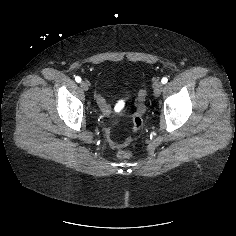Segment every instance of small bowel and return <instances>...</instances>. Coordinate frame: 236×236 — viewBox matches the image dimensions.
I'll use <instances>...</instances> for the list:
<instances>
[{"label":"small bowel","mask_w":236,"mask_h":236,"mask_svg":"<svg viewBox=\"0 0 236 236\" xmlns=\"http://www.w3.org/2000/svg\"><path fill=\"white\" fill-rule=\"evenodd\" d=\"M97 103L100 105L101 109L103 110L104 113L109 114L110 113V106L106 102L105 98L101 95L98 94L96 96Z\"/></svg>","instance_id":"obj_1"}]
</instances>
